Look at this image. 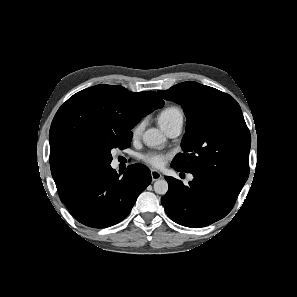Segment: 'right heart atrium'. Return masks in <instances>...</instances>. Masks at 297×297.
<instances>
[{
  "instance_id": "right-heart-atrium-1",
  "label": "right heart atrium",
  "mask_w": 297,
  "mask_h": 297,
  "mask_svg": "<svg viewBox=\"0 0 297 297\" xmlns=\"http://www.w3.org/2000/svg\"><path fill=\"white\" fill-rule=\"evenodd\" d=\"M144 129V120L139 121L133 128H132V136L134 139H137L141 136Z\"/></svg>"
}]
</instances>
